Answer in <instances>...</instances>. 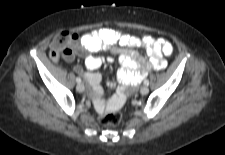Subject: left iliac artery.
Instances as JSON below:
<instances>
[{
  "instance_id": "left-iliac-artery-1",
  "label": "left iliac artery",
  "mask_w": 225,
  "mask_h": 155,
  "mask_svg": "<svg viewBox=\"0 0 225 155\" xmlns=\"http://www.w3.org/2000/svg\"><path fill=\"white\" fill-rule=\"evenodd\" d=\"M144 84L148 86L149 85V81L148 80H145L144 81Z\"/></svg>"
}]
</instances>
